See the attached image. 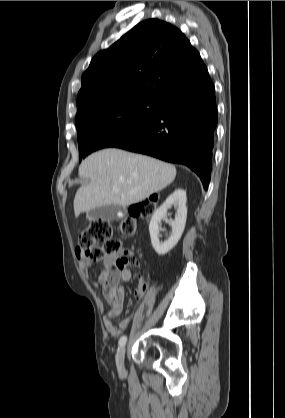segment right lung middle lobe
<instances>
[{
    "instance_id": "1",
    "label": "right lung middle lobe",
    "mask_w": 285,
    "mask_h": 418,
    "mask_svg": "<svg viewBox=\"0 0 285 418\" xmlns=\"http://www.w3.org/2000/svg\"><path fill=\"white\" fill-rule=\"evenodd\" d=\"M159 113V104L138 101L104 109L76 123L81 161L90 153L132 138Z\"/></svg>"
}]
</instances>
